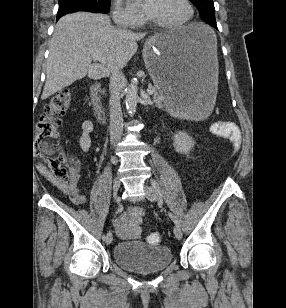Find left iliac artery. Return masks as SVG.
Wrapping results in <instances>:
<instances>
[{
    "label": "left iliac artery",
    "instance_id": "44dca946",
    "mask_svg": "<svg viewBox=\"0 0 286 308\" xmlns=\"http://www.w3.org/2000/svg\"><path fill=\"white\" fill-rule=\"evenodd\" d=\"M151 185H152V187L154 188L156 194H157L159 197H161L160 187H159L158 183H157L154 179L151 180ZM169 216L171 217V219L173 220V222H174L175 224L179 225V221L176 219V217H175L174 215H172L171 213H169Z\"/></svg>",
    "mask_w": 286,
    "mask_h": 308
}]
</instances>
